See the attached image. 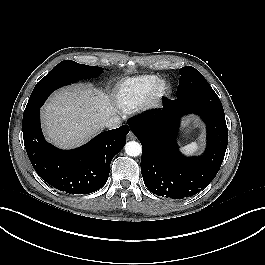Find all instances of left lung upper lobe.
<instances>
[{
	"mask_svg": "<svg viewBox=\"0 0 265 265\" xmlns=\"http://www.w3.org/2000/svg\"><path fill=\"white\" fill-rule=\"evenodd\" d=\"M180 74L176 99L179 104L224 115L220 99L198 70L185 66L180 69Z\"/></svg>",
	"mask_w": 265,
	"mask_h": 265,
	"instance_id": "1",
	"label": "left lung upper lobe"
}]
</instances>
